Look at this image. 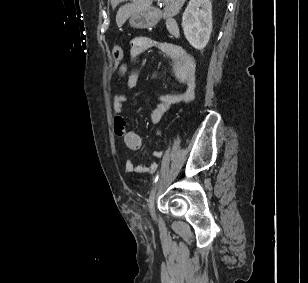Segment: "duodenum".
Masks as SVG:
<instances>
[{
    "label": "duodenum",
    "mask_w": 308,
    "mask_h": 283,
    "mask_svg": "<svg viewBox=\"0 0 308 283\" xmlns=\"http://www.w3.org/2000/svg\"><path fill=\"white\" fill-rule=\"evenodd\" d=\"M161 19V15L159 12L154 11V10H149L147 12V15L143 21L144 24L148 26H152L157 24ZM165 24L168 32L174 36L178 37L179 36V27L177 22L173 18H166L165 19Z\"/></svg>",
    "instance_id": "1"
}]
</instances>
